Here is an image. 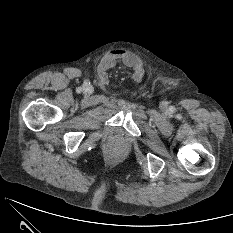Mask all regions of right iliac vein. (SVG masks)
I'll list each match as a JSON object with an SVG mask.
<instances>
[{
    "label": "right iliac vein",
    "instance_id": "right-iliac-vein-1",
    "mask_svg": "<svg viewBox=\"0 0 233 233\" xmlns=\"http://www.w3.org/2000/svg\"><path fill=\"white\" fill-rule=\"evenodd\" d=\"M85 91L87 92V93H92L93 92V88H92V86H87L86 88H85Z\"/></svg>",
    "mask_w": 233,
    "mask_h": 233
}]
</instances>
